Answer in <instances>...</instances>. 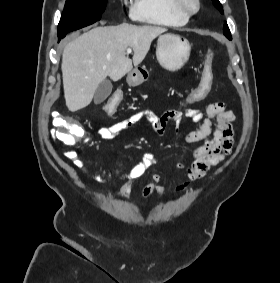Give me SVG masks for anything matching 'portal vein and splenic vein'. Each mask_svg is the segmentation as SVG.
I'll list each match as a JSON object with an SVG mask.
<instances>
[{
	"mask_svg": "<svg viewBox=\"0 0 280 283\" xmlns=\"http://www.w3.org/2000/svg\"><path fill=\"white\" fill-rule=\"evenodd\" d=\"M127 52H128V53H130V52H131V48H130V47L127 49Z\"/></svg>",
	"mask_w": 280,
	"mask_h": 283,
	"instance_id": "18ae733b",
	"label": "portal vein and splenic vein"
}]
</instances>
